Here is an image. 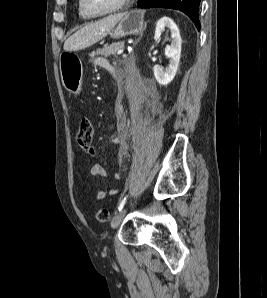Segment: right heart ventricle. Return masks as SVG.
I'll return each mask as SVG.
<instances>
[{
    "label": "right heart ventricle",
    "instance_id": "1",
    "mask_svg": "<svg viewBox=\"0 0 267 298\" xmlns=\"http://www.w3.org/2000/svg\"><path fill=\"white\" fill-rule=\"evenodd\" d=\"M79 15L82 16L83 18H88L84 13L81 11L80 7H78Z\"/></svg>",
    "mask_w": 267,
    "mask_h": 298
}]
</instances>
